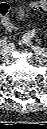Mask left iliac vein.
Returning a JSON list of instances; mask_svg holds the SVG:
<instances>
[{"label": "left iliac vein", "mask_w": 47, "mask_h": 129, "mask_svg": "<svg viewBox=\"0 0 47 129\" xmlns=\"http://www.w3.org/2000/svg\"><path fill=\"white\" fill-rule=\"evenodd\" d=\"M32 49L41 60H45L47 57L46 51L40 47L32 46Z\"/></svg>", "instance_id": "1"}]
</instances>
